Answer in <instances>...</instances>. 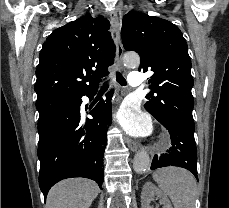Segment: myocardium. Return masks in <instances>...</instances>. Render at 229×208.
<instances>
[{
    "instance_id": "1",
    "label": "myocardium",
    "mask_w": 229,
    "mask_h": 208,
    "mask_svg": "<svg viewBox=\"0 0 229 208\" xmlns=\"http://www.w3.org/2000/svg\"><path fill=\"white\" fill-rule=\"evenodd\" d=\"M170 142H171L170 136L166 133H161L157 137V139L154 143V146L157 150H163L170 145Z\"/></svg>"
}]
</instances>
